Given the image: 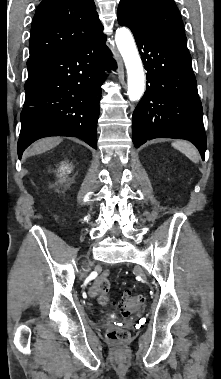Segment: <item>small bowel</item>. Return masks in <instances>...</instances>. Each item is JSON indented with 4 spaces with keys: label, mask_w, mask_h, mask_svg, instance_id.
I'll list each match as a JSON object with an SVG mask.
<instances>
[{
    "label": "small bowel",
    "mask_w": 221,
    "mask_h": 379,
    "mask_svg": "<svg viewBox=\"0 0 221 379\" xmlns=\"http://www.w3.org/2000/svg\"><path fill=\"white\" fill-rule=\"evenodd\" d=\"M105 275H108V272H105ZM98 293H99V286H98V284L96 283V284H94V285L90 288V290H89V294H90L91 297H96V296L98 295Z\"/></svg>",
    "instance_id": "1"
}]
</instances>
